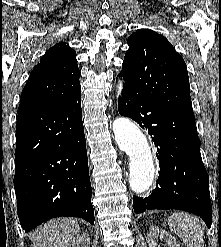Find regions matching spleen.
<instances>
[{
  "instance_id": "spleen-1",
  "label": "spleen",
  "mask_w": 221,
  "mask_h": 247,
  "mask_svg": "<svg viewBox=\"0 0 221 247\" xmlns=\"http://www.w3.org/2000/svg\"><path fill=\"white\" fill-rule=\"evenodd\" d=\"M168 223L171 232L178 235L187 247H203L204 233L197 218L185 212H175Z\"/></svg>"
}]
</instances>
